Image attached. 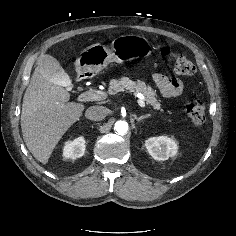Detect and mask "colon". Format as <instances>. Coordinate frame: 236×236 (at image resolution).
I'll use <instances>...</instances> for the list:
<instances>
[{"instance_id":"obj_1","label":"colon","mask_w":236,"mask_h":236,"mask_svg":"<svg viewBox=\"0 0 236 236\" xmlns=\"http://www.w3.org/2000/svg\"><path fill=\"white\" fill-rule=\"evenodd\" d=\"M162 55L173 57L174 71L180 76H191L195 72V65L183 55H172L170 49L164 48ZM185 111L195 124H202L206 120L205 105L200 99H193L185 104Z\"/></svg>"}]
</instances>
